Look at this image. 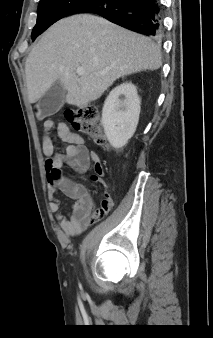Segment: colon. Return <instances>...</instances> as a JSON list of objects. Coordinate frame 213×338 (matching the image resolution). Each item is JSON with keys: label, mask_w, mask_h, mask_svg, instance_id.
<instances>
[{"label": "colon", "mask_w": 213, "mask_h": 338, "mask_svg": "<svg viewBox=\"0 0 213 338\" xmlns=\"http://www.w3.org/2000/svg\"><path fill=\"white\" fill-rule=\"evenodd\" d=\"M66 118L77 130L81 131L90 141L107 146L102 120L95 107L87 106L67 110ZM100 172V168H96ZM61 175L60 168L54 160L46 169L48 181L55 182ZM94 182L99 181V175L91 177ZM112 205L108 200H102L100 206L95 211V220L104 218L110 211Z\"/></svg>", "instance_id": "1"}]
</instances>
